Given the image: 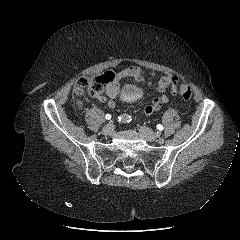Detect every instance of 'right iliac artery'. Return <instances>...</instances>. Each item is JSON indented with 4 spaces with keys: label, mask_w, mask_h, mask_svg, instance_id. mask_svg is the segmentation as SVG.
<instances>
[{
    "label": "right iliac artery",
    "mask_w": 240,
    "mask_h": 240,
    "mask_svg": "<svg viewBox=\"0 0 240 240\" xmlns=\"http://www.w3.org/2000/svg\"><path fill=\"white\" fill-rule=\"evenodd\" d=\"M117 120L120 123H129L132 120V118L128 114H122L117 118Z\"/></svg>",
    "instance_id": "82829eb1"
}]
</instances>
